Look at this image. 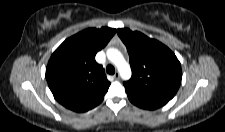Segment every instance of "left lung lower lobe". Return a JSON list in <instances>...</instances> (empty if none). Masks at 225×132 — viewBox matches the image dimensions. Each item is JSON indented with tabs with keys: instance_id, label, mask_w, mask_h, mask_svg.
I'll return each instance as SVG.
<instances>
[{
	"instance_id": "1",
	"label": "left lung lower lobe",
	"mask_w": 225,
	"mask_h": 132,
	"mask_svg": "<svg viewBox=\"0 0 225 132\" xmlns=\"http://www.w3.org/2000/svg\"><path fill=\"white\" fill-rule=\"evenodd\" d=\"M128 98L134 105L140 108L149 109V110L157 109L169 102L168 100H164V99H143V98L134 97L131 95H128Z\"/></svg>"
}]
</instances>
